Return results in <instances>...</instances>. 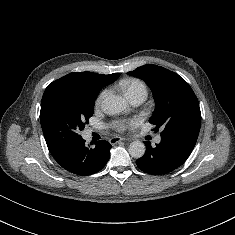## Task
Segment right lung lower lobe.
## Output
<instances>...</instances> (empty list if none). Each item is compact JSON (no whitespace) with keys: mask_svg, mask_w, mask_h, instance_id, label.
I'll list each match as a JSON object with an SVG mask.
<instances>
[{"mask_svg":"<svg viewBox=\"0 0 235 235\" xmlns=\"http://www.w3.org/2000/svg\"><path fill=\"white\" fill-rule=\"evenodd\" d=\"M111 145L101 140L90 148L82 137L76 138L51 153L57 163L77 175H90L100 171L110 158Z\"/></svg>","mask_w":235,"mask_h":235,"instance_id":"obj_1","label":"right lung lower lobe"}]
</instances>
